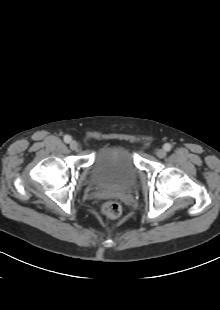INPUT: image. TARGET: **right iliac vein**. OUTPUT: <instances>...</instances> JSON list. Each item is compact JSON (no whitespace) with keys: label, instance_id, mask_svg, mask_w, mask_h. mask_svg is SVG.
<instances>
[{"label":"right iliac vein","instance_id":"right-iliac-vein-1","mask_svg":"<svg viewBox=\"0 0 220 310\" xmlns=\"http://www.w3.org/2000/svg\"><path fill=\"white\" fill-rule=\"evenodd\" d=\"M70 148H71L72 150H78L79 145H78V143H77L76 141H71V142H70Z\"/></svg>","mask_w":220,"mask_h":310}]
</instances>
